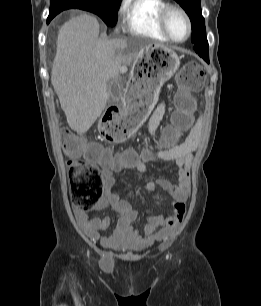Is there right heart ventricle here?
<instances>
[{
  "mask_svg": "<svg viewBox=\"0 0 261 306\" xmlns=\"http://www.w3.org/2000/svg\"><path fill=\"white\" fill-rule=\"evenodd\" d=\"M166 5L165 0H125L122 6L124 29L136 36L169 41L158 23L159 14Z\"/></svg>",
  "mask_w": 261,
  "mask_h": 306,
  "instance_id": "1",
  "label": "right heart ventricle"
}]
</instances>
